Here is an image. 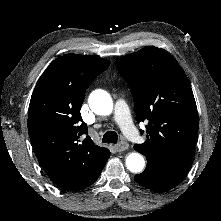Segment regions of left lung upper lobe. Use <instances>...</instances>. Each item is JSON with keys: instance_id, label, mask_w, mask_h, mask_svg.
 <instances>
[{"instance_id": "1", "label": "left lung upper lobe", "mask_w": 221, "mask_h": 221, "mask_svg": "<svg viewBox=\"0 0 221 221\" xmlns=\"http://www.w3.org/2000/svg\"><path fill=\"white\" fill-rule=\"evenodd\" d=\"M116 66L130 87L137 121L147 123V140L134 149L147 164L188 168L199 118L182 67L170 53L154 46L117 59Z\"/></svg>"}]
</instances>
